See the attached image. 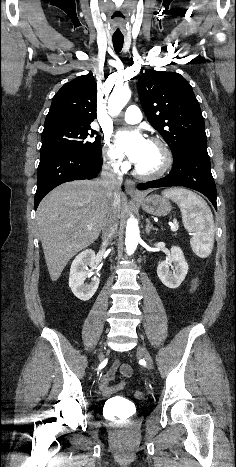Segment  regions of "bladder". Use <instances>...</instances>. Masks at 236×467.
I'll return each mask as SVG.
<instances>
[{
  "mask_svg": "<svg viewBox=\"0 0 236 467\" xmlns=\"http://www.w3.org/2000/svg\"><path fill=\"white\" fill-rule=\"evenodd\" d=\"M133 407H134L133 405H131V406H127V405H116V406H113V407H111V408H108L107 406H105L104 409H105L106 411H108V413H110L109 410H113V409H116V408H122V409L128 411L129 408H133Z\"/></svg>",
  "mask_w": 236,
  "mask_h": 467,
  "instance_id": "1",
  "label": "bladder"
}]
</instances>
